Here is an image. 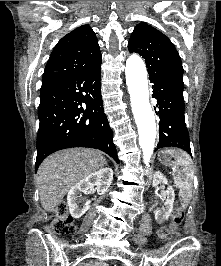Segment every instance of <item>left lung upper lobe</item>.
I'll return each mask as SVG.
<instances>
[{
    "label": "left lung upper lobe",
    "mask_w": 221,
    "mask_h": 266,
    "mask_svg": "<svg viewBox=\"0 0 221 266\" xmlns=\"http://www.w3.org/2000/svg\"><path fill=\"white\" fill-rule=\"evenodd\" d=\"M128 49L145 59L149 78H160L184 87L180 56L163 33L142 22L135 26Z\"/></svg>",
    "instance_id": "obj_1"
}]
</instances>
